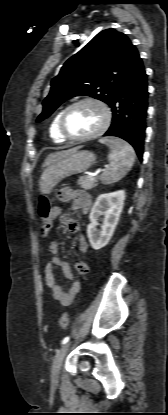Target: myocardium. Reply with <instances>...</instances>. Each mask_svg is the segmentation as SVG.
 Listing matches in <instances>:
<instances>
[{
	"label": "myocardium",
	"instance_id": "1",
	"mask_svg": "<svg viewBox=\"0 0 168 415\" xmlns=\"http://www.w3.org/2000/svg\"><path fill=\"white\" fill-rule=\"evenodd\" d=\"M83 103H93V104L99 106L101 108L102 112H103V122H102V124H101V126L99 127L98 130H96L95 132H93L89 135L81 136V137L72 136L68 133V131L66 130V127H65L66 116H67V113L73 107H75L77 105H80V104H83ZM111 118H112L111 110L105 102H103L100 99L94 98V97H84V98H81L79 100L74 101L73 103L69 104L67 107H65L62 110L60 118H59V131H60L61 135L68 141H71V142L89 141V140L98 138L99 136H101L102 134H104L106 132V130L110 126Z\"/></svg>",
	"mask_w": 168,
	"mask_h": 415
}]
</instances>
